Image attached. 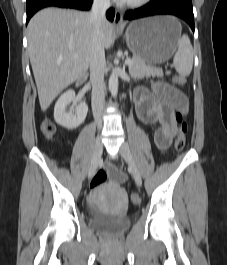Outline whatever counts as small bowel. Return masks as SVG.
Returning a JSON list of instances; mask_svg holds the SVG:
<instances>
[{"label": "small bowel", "mask_w": 227, "mask_h": 265, "mask_svg": "<svg viewBox=\"0 0 227 265\" xmlns=\"http://www.w3.org/2000/svg\"><path fill=\"white\" fill-rule=\"evenodd\" d=\"M136 113L139 119L156 126L154 141L159 150H166L176 132L174 121L175 110L186 112L188 103L186 97L165 82H159L152 91L139 88L135 93ZM111 181L115 184L125 180L126 175L118 169L107 168Z\"/></svg>", "instance_id": "c3829d8e"}]
</instances>
